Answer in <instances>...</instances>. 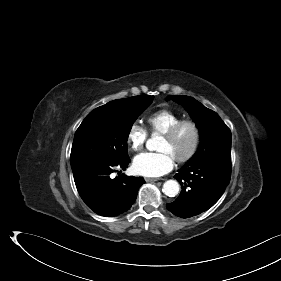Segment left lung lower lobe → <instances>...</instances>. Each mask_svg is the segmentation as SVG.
Returning a JSON list of instances; mask_svg holds the SVG:
<instances>
[{"instance_id":"left-lung-lower-lobe-1","label":"left lung lower lobe","mask_w":281,"mask_h":281,"mask_svg":"<svg viewBox=\"0 0 281 281\" xmlns=\"http://www.w3.org/2000/svg\"><path fill=\"white\" fill-rule=\"evenodd\" d=\"M231 159H206L185 164L174 176L182 185L178 198L167 204L181 218L196 216L211 208L230 181Z\"/></svg>"}]
</instances>
